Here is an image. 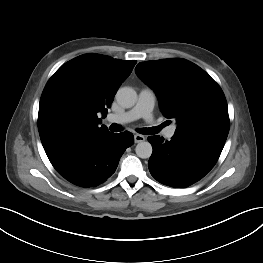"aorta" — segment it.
<instances>
[{
    "label": "aorta",
    "instance_id": "762f6f07",
    "mask_svg": "<svg viewBox=\"0 0 263 263\" xmlns=\"http://www.w3.org/2000/svg\"><path fill=\"white\" fill-rule=\"evenodd\" d=\"M117 102L124 108H131L137 101V93L133 88L122 87L116 93ZM152 145L147 141L137 144L135 152L139 158L147 159L152 155Z\"/></svg>",
    "mask_w": 263,
    "mask_h": 263
}]
</instances>
